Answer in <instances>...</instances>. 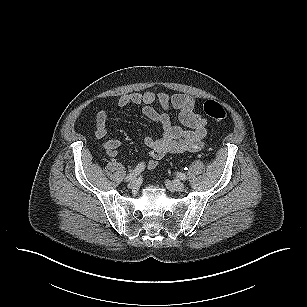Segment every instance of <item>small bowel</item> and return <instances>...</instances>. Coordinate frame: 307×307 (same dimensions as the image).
I'll return each instance as SVG.
<instances>
[{"mask_svg": "<svg viewBox=\"0 0 307 307\" xmlns=\"http://www.w3.org/2000/svg\"><path fill=\"white\" fill-rule=\"evenodd\" d=\"M159 105V108L155 106ZM120 107L139 105L143 113L153 122L160 125L162 133L158 137L147 136L145 144L149 148L150 160L148 168H154L158 162L168 154L191 153L199 151L204 146V138L207 135L208 120L195 112V100L186 94L170 95L166 92L143 93L133 92L122 95L118 100ZM174 108L179 113V120L185 128L173 124L167 109ZM108 113L101 110L95 119V137L104 139L108 134ZM103 147L108 156H115L122 142L117 139H109L103 142Z\"/></svg>", "mask_w": 307, "mask_h": 307, "instance_id": "c3829d8e", "label": "small bowel"}]
</instances>
